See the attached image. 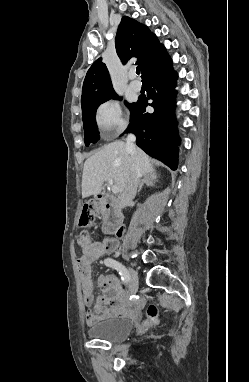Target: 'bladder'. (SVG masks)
I'll list each match as a JSON object with an SVG mask.
<instances>
[{
	"label": "bladder",
	"instance_id": "bladder-1",
	"mask_svg": "<svg viewBox=\"0 0 249 382\" xmlns=\"http://www.w3.org/2000/svg\"><path fill=\"white\" fill-rule=\"evenodd\" d=\"M134 328L133 321L126 317L101 320L88 329V334L97 340L119 343L126 340Z\"/></svg>",
	"mask_w": 249,
	"mask_h": 382
}]
</instances>
